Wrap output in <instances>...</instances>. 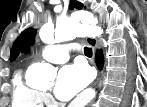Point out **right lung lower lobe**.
<instances>
[{
	"mask_svg": "<svg viewBox=\"0 0 147 107\" xmlns=\"http://www.w3.org/2000/svg\"><path fill=\"white\" fill-rule=\"evenodd\" d=\"M95 60H96V64H97L98 68H99V69H102V67H103V62H104L102 51H98V52L96 53V58H95Z\"/></svg>",
	"mask_w": 147,
	"mask_h": 107,
	"instance_id": "98d812e1",
	"label": "right lung lower lobe"
}]
</instances>
